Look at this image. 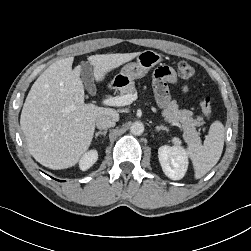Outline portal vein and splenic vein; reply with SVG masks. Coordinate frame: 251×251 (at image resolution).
<instances>
[{
	"instance_id": "obj_1",
	"label": "portal vein and splenic vein",
	"mask_w": 251,
	"mask_h": 251,
	"mask_svg": "<svg viewBox=\"0 0 251 251\" xmlns=\"http://www.w3.org/2000/svg\"><path fill=\"white\" fill-rule=\"evenodd\" d=\"M137 99V94H127L123 96L110 97L102 100L103 105L107 106H125L131 104Z\"/></svg>"
}]
</instances>
